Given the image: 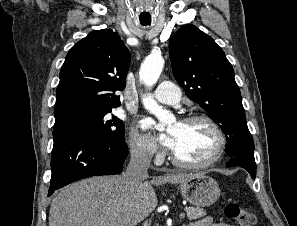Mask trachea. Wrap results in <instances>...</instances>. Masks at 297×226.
I'll return each mask as SVG.
<instances>
[{"label":"trachea","mask_w":297,"mask_h":226,"mask_svg":"<svg viewBox=\"0 0 297 226\" xmlns=\"http://www.w3.org/2000/svg\"><path fill=\"white\" fill-rule=\"evenodd\" d=\"M141 24H142L143 26L150 25V23H145V22H141Z\"/></svg>","instance_id":"trachea-1"}]
</instances>
